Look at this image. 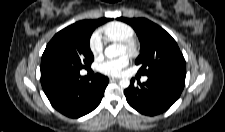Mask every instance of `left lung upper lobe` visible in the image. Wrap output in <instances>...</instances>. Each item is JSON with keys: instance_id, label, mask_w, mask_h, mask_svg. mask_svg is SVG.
I'll use <instances>...</instances> for the list:
<instances>
[{"instance_id": "left-lung-upper-lobe-1", "label": "left lung upper lobe", "mask_w": 225, "mask_h": 132, "mask_svg": "<svg viewBox=\"0 0 225 132\" xmlns=\"http://www.w3.org/2000/svg\"><path fill=\"white\" fill-rule=\"evenodd\" d=\"M118 20L131 25L140 40V55L135 63L141 65L138 73L186 75V62L176 41L157 24L145 18Z\"/></svg>"}]
</instances>
